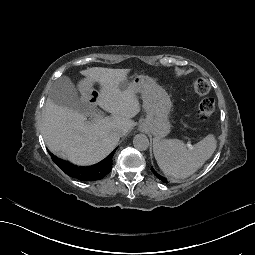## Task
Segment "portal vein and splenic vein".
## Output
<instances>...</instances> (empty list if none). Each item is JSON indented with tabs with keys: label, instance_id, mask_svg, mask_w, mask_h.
Segmentation results:
<instances>
[{
	"label": "portal vein and splenic vein",
	"instance_id": "1",
	"mask_svg": "<svg viewBox=\"0 0 255 255\" xmlns=\"http://www.w3.org/2000/svg\"><path fill=\"white\" fill-rule=\"evenodd\" d=\"M101 119V115L100 114H96L95 115V118H94V121L97 122Z\"/></svg>",
	"mask_w": 255,
	"mask_h": 255
}]
</instances>
